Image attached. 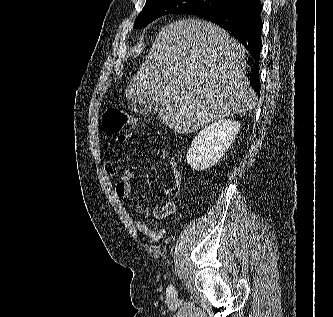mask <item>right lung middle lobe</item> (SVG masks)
<instances>
[{"label":"right lung middle lobe","instance_id":"1","mask_svg":"<svg viewBox=\"0 0 333 317\" xmlns=\"http://www.w3.org/2000/svg\"><path fill=\"white\" fill-rule=\"evenodd\" d=\"M227 3L226 0H146L143 11L135 20L134 28L143 27L157 18L175 13L195 15Z\"/></svg>","mask_w":333,"mask_h":317}]
</instances>
